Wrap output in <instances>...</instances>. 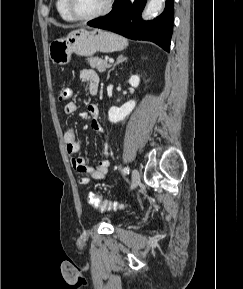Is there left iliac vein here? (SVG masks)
Returning a JSON list of instances; mask_svg holds the SVG:
<instances>
[{
	"mask_svg": "<svg viewBox=\"0 0 243 289\" xmlns=\"http://www.w3.org/2000/svg\"><path fill=\"white\" fill-rule=\"evenodd\" d=\"M140 183V174L139 171L137 169H133L132 171V177H131V185L130 188L134 189L138 186V184Z\"/></svg>",
	"mask_w": 243,
	"mask_h": 289,
	"instance_id": "left-iliac-vein-1",
	"label": "left iliac vein"
}]
</instances>
